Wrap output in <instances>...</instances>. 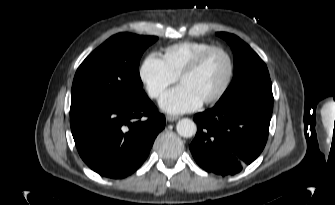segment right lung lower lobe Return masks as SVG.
Listing matches in <instances>:
<instances>
[{"label":"right lung lower lobe","mask_w":335,"mask_h":205,"mask_svg":"<svg viewBox=\"0 0 335 205\" xmlns=\"http://www.w3.org/2000/svg\"><path fill=\"white\" fill-rule=\"evenodd\" d=\"M72 135L83 161L114 179L132 174L165 126L146 94L132 101H88L70 107Z\"/></svg>","instance_id":"98d812e1"}]
</instances>
